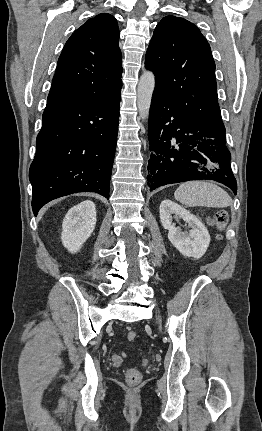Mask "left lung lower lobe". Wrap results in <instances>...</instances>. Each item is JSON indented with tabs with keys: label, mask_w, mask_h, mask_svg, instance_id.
<instances>
[{
	"label": "left lung lower lobe",
	"mask_w": 262,
	"mask_h": 431,
	"mask_svg": "<svg viewBox=\"0 0 262 431\" xmlns=\"http://www.w3.org/2000/svg\"><path fill=\"white\" fill-rule=\"evenodd\" d=\"M149 190L190 180H214L235 194L237 183L225 127L205 128L154 90L149 114Z\"/></svg>",
	"instance_id": "obj_1"
}]
</instances>
